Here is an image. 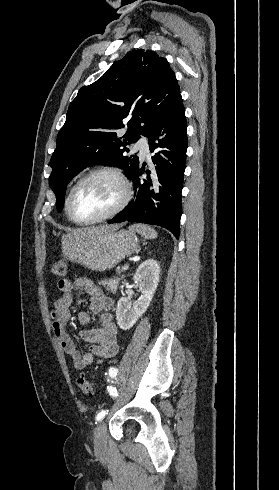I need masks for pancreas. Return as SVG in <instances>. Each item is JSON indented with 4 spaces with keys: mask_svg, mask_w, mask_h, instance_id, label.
<instances>
[{
    "mask_svg": "<svg viewBox=\"0 0 279 490\" xmlns=\"http://www.w3.org/2000/svg\"><path fill=\"white\" fill-rule=\"evenodd\" d=\"M116 272L117 274H121V272H124V270L121 268V270H116ZM120 280H122V276H116V278H113V280H102L100 284L101 286H104L106 290H114V292H116Z\"/></svg>",
    "mask_w": 279,
    "mask_h": 490,
    "instance_id": "obj_1",
    "label": "pancreas"
}]
</instances>
